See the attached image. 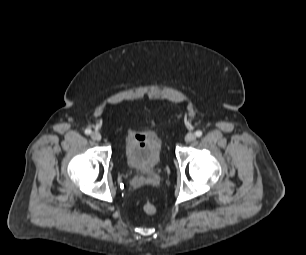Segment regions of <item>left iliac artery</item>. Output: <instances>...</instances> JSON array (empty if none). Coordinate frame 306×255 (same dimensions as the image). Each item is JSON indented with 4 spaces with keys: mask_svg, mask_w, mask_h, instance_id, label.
I'll return each mask as SVG.
<instances>
[{
    "mask_svg": "<svg viewBox=\"0 0 306 255\" xmlns=\"http://www.w3.org/2000/svg\"><path fill=\"white\" fill-rule=\"evenodd\" d=\"M202 131L201 130H197L196 132H195V135L197 136V137H201L202 136Z\"/></svg>",
    "mask_w": 306,
    "mask_h": 255,
    "instance_id": "44dca946",
    "label": "left iliac artery"
}]
</instances>
